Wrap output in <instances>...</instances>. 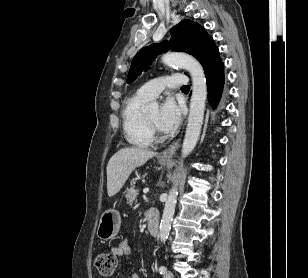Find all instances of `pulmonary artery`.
Segmentation results:
<instances>
[{
  "mask_svg": "<svg viewBox=\"0 0 308 278\" xmlns=\"http://www.w3.org/2000/svg\"><path fill=\"white\" fill-rule=\"evenodd\" d=\"M188 83L186 76L173 74L166 77L153 79L143 84L137 91L139 95L150 100L158 96L165 88H178Z\"/></svg>",
  "mask_w": 308,
  "mask_h": 278,
  "instance_id": "e3ab8cb5",
  "label": "pulmonary artery"
}]
</instances>
